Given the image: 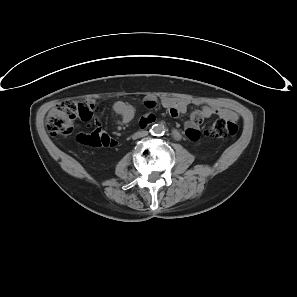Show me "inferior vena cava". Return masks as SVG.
Masks as SVG:
<instances>
[{
    "instance_id": "1",
    "label": "inferior vena cava",
    "mask_w": 297,
    "mask_h": 297,
    "mask_svg": "<svg viewBox=\"0 0 297 297\" xmlns=\"http://www.w3.org/2000/svg\"><path fill=\"white\" fill-rule=\"evenodd\" d=\"M147 135L146 131H139L134 134V138H141Z\"/></svg>"
}]
</instances>
